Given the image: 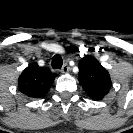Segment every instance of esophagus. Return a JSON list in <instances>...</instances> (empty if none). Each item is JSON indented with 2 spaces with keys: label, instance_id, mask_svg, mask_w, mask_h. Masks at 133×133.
<instances>
[{
  "label": "esophagus",
  "instance_id": "34e87169",
  "mask_svg": "<svg viewBox=\"0 0 133 133\" xmlns=\"http://www.w3.org/2000/svg\"><path fill=\"white\" fill-rule=\"evenodd\" d=\"M70 70V67L67 64H64L61 68V73L65 74Z\"/></svg>",
  "mask_w": 133,
  "mask_h": 133
}]
</instances>
